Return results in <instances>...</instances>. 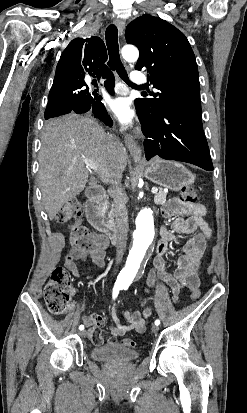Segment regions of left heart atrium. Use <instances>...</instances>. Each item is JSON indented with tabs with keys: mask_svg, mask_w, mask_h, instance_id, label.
<instances>
[{
	"mask_svg": "<svg viewBox=\"0 0 247 413\" xmlns=\"http://www.w3.org/2000/svg\"><path fill=\"white\" fill-rule=\"evenodd\" d=\"M105 104L124 127H128L133 123L134 112L130 109L125 98H108L105 100Z\"/></svg>",
	"mask_w": 247,
	"mask_h": 413,
	"instance_id": "39dd6f15",
	"label": "left heart atrium"
}]
</instances>
